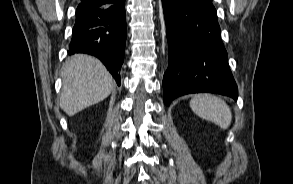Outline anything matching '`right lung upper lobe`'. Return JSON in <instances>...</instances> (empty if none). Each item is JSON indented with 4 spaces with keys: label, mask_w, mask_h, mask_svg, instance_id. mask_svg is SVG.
<instances>
[{
    "label": "right lung upper lobe",
    "mask_w": 293,
    "mask_h": 184,
    "mask_svg": "<svg viewBox=\"0 0 293 184\" xmlns=\"http://www.w3.org/2000/svg\"><path fill=\"white\" fill-rule=\"evenodd\" d=\"M110 1L112 0H81V4H90L93 6H99V7H103V6H107L110 5Z\"/></svg>",
    "instance_id": "obj_1"
}]
</instances>
